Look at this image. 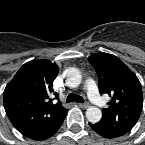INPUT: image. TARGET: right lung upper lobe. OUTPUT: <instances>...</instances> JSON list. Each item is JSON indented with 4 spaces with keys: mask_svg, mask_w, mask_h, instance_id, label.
Segmentation results:
<instances>
[{
    "mask_svg": "<svg viewBox=\"0 0 145 145\" xmlns=\"http://www.w3.org/2000/svg\"><path fill=\"white\" fill-rule=\"evenodd\" d=\"M59 67L48 60L25 63L7 84L3 99L6 114L24 136L40 132L54 124L67 110L53 93L52 83Z\"/></svg>",
    "mask_w": 145,
    "mask_h": 145,
    "instance_id": "1",
    "label": "right lung upper lobe"
}]
</instances>
